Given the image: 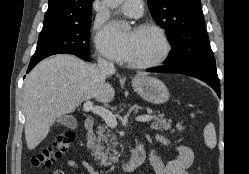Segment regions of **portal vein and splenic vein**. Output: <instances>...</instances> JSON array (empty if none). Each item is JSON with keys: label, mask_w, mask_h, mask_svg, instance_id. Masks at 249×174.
Wrapping results in <instances>:
<instances>
[{"label": "portal vein and splenic vein", "mask_w": 249, "mask_h": 174, "mask_svg": "<svg viewBox=\"0 0 249 174\" xmlns=\"http://www.w3.org/2000/svg\"><path fill=\"white\" fill-rule=\"evenodd\" d=\"M83 110L85 112H92L94 114L99 115L105 120L106 124L111 128H115L117 126V120L115 115L104 107L94 106L91 101H86L83 105ZM152 118H153L152 115L144 114L138 116L136 120L138 122H147L150 121Z\"/></svg>", "instance_id": "18ae733b"}]
</instances>
